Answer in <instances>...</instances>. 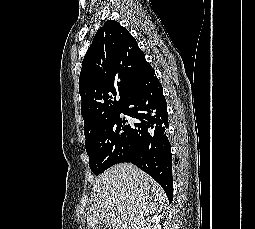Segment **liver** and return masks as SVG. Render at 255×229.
I'll list each match as a JSON object with an SVG mask.
<instances>
[{
  "mask_svg": "<svg viewBox=\"0 0 255 229\" xmlns=\"http://www.w3.org/2000/svg\"><path fill=\"white\" fill-rule=\"evenodd\" d=\"M87 226L136 229L145 217L166 204L162 187L132 163H120L99 175L92 190Z\"/></svg>",
  "mask_w": 255,
  "mask_h": 229,
  "instance_id": "obj_1",
  "label": "liver"
}]
</instances>
